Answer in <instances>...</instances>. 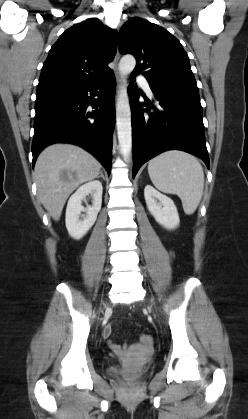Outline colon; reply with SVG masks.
<instances>
[{
	"instance_id": "5ec220e1",
	"label": "colon",
	"mask_w": 248,
	"mask_h": 419,
	"mask_svg": "<svg viewBox=\"0 0 248 419\" xmlns=\"http://www.w3.org/2000/svg\"><path fill=\"white\" fill-rule=\"evenodd\" d=\"M140 340L142 343H144L147 346H151L153 343L152 337L150 335H141Z\"/></svg>"
}]
</instances>
